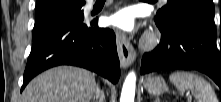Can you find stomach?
<instances>
[{
  "label": "stomach",
  "mask_w": 221,
  "mask_h": 102,
  "mask_svg": "<svg viewBox=\"0 0 221 102\" xmlns=\"http://www.w3.org/2000/svg\"><path fill=\"white\" fill-rule=\"evenodd\" d=\"M144 87L151 95H160L167 90L166 82L160 76L148 77L144 82Z\"/></svg>",
  "instance_id": "0dacf381"
}]
</instances>
